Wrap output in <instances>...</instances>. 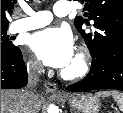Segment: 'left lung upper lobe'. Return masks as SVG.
I'll return each instance as SVG.
<instances>
[{
	"mask_svg": "<svg viewBox=\"0 0 123 113\" xmlns=\"http://www.w3.org/2000/svg\"><path fill=\"white\" fill-rule=\"evenodd\" d=\"M83 3V0H81ZM86 13L83 15L93 20L94 29L85 31L88 20L79 16L75 27L84 38L92 56H103L123 47V0H84Z\"/></svg>",
	"mask_w": 123,
	"mask_h": 113,
	"instance_id": "5c2ea615",
	"label": "left lung upper lobe"
}]
</instances>
